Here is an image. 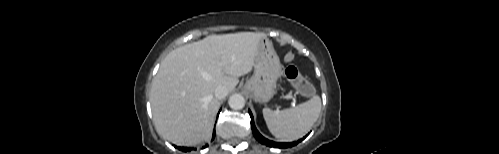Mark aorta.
<instances>
[{
  "instance_id": "762f6f07",
  "label": "aorta",
  "mask_w": 499,
  "mask_h": 154,
  "mask_svg": "<svg viewBox=\"0 0 499 154\" xmlns=\"http://www.w3.org/2000/svg\"><path fill=\"white\" fill-rule=\"evenodd\" d=\"M228 104H229L230 108H232L234 110H240L245 105V99L241 94L236 93V94H233L232 96H230V98L228 100Z\"/></svg>"
}]
</instances>
